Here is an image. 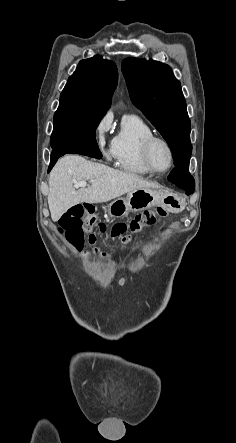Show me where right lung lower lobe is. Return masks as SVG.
I'll use <instances>...</instances> for the list:
<instances>
[{"instance_id":"right-lung-lower-lobe-1","label":"right lung lower lobe","mask_w":236,"mask_h":443,"mask_svg":"<svg viewBox=\"0 0 236 443\" xmlns=\"http://www.w3.org/2000/svg\"><path fill=\"white\" fill-rule=\"evenodd\" d=\"M67 153H74V154H82L86 156H90L93 158L100 159L102 157V154L99 150L98 145H80V146H72V147H66L62 149H52L51 152V162L48 169V172L51 170V168L54 166L58 158L64 154Z\"/></svg>"}]
</instances>
